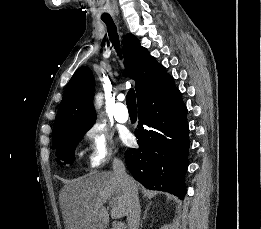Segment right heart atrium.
Listing matches in <instances>:
<instances>
[{
  "label": "right heart atrium",
  "instance_id": "obj_1",
  "mask_svg": "<svg viewBox=\"0 0 261 229\" xmlns=\"http://www.w3.org/2000/svg\"><path fill=\"white\" fill-rule=\"evenodd\" d=\"M89 142V166L98 168L113 155V140L99 123L93 124L86 132Z\"/></svg>",
  "mask_w": 261,
  "mask_h": 229
}]
</instances>
